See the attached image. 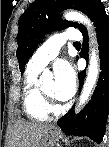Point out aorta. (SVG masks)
I'll return each instance as SVG.
<instances>
[{"instance_id": "aorta-1", "label": "aorta", "mask_w": 109, "mask_h": 147, "mask_svg": "<svg viewBox=\"0 0 109 147\" xmlns=\"http://www.w3.org/2000/svg\"><path fill=\"white\" fill-rule=\"evenodd\" d=\"M64 17L69 21H76L84 24L90 30L89 34L91 38V46H94L90 49L91 52L89 57L88 73L77 105L76 111H79L89 100V97L96 85L99 76V56L97 47L94 45L96 44V38L95 34L93 33L90 19L77 11H68L64 14ZM43 77H45V74H43Z\"/></svg>"}]
</instances>
